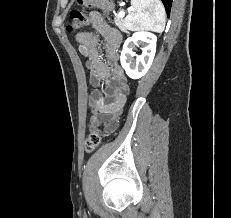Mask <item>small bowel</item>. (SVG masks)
<instances>
[{
    "label": "small bowel",
    "mask_w": 231,
    "mask_h": 218,
    "mask_svg": "<svg viewBox=\"0 0 231 218\" xmlns=\"http://www.w3.org/2000/svg\"><path fill=\"white\" fill-rule=\"evenodd\" d=\"M94 31L84 30L76 34L79 51L90 71L93 90L89 94V108L92 112L91 125L105 124V133H113L119 126V119L129 94L127 77L119 63L118 48L120 33L111 28L99 12L89 14ZM99 35L104 38L103 58ZM104 84V88L100 85Z\"/></svg>",
    "instance_id": "c3829d8e"
}]
</instances>
